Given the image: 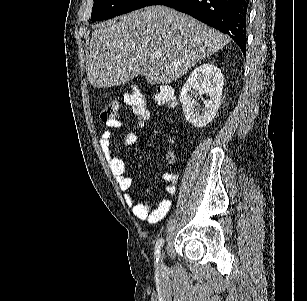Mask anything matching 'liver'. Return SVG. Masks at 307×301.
Returning <instances> with one entry per match:
<instances>
[{
	"instance_id": "1",
	"label": "liver",
	"mask_w": 307,
	"mask_h": 301,
	"mask_svg": "<svg viewBox=\"0 0 307 301\" xmlns=\"http://www.w3.org/2000/svg\"><path fill=\"white\" fill-rule=\"evenodd\" d=\"M230 40L184 12L162 4L145 6L97 24L87 54V78L97 88L125 84L139 74L148 84H169Z\"/></svg>"
}]
</instances>
